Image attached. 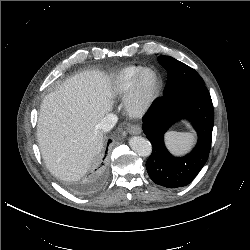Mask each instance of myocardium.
Listing matches in <instances>:
<instances>
[{"instance_id":"f54148a6","label":"myocardium","mask_w":250,"mask_h":250,"mask_svg":"<svg viewBox=\"0 0 250 250\" xmlns=\"http://www.w3.org/2000/svg\"><path fill=\"white\" fill-rule=\"evenodd\" d=\"M147 73H152L154 83L146 94L141 92L142 80ZM161 90V80L156 70L144 68L134 80L125 98V109L131 117L139 118L144 116L157 100Z\"/></svg>"}]
</instances>
